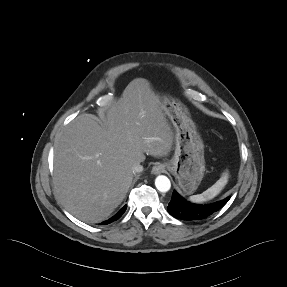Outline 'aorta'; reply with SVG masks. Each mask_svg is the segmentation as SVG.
<instances>
[{
  "label": "aorta",
  "instance_id": "762f6f07",
  "mask_svg": "<svg viewBox=\"0 0 287 287\" xmlns=\"http://www.w3.org/2000/svg\"><path fill=\"white\" fill-rule=\"evenodd\" d=\"M155 186L160 192H167L171 188V182L167 176L159 175L155 179Z\"/></svg>",
  "mask_w": 287,
  "mask_h": 287
}]
</instances>
